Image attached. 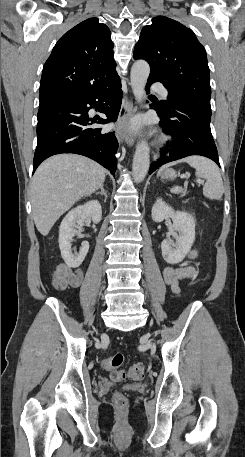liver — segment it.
Segmentation results:
<instances>
[{
  "label": "liver",
  "instance_id": "obj_1",
  "mask_svg": "<svg viewBox=\"0 0 245 457\" xmlns=\"http://www.w3.org/2000/svg\"><path fill=\"white\" fill-rule=\"evenodd\" d=\"M105 168L80 154H55L38 166L31 184L36 229L46 237L56 220L81 196L102 186Z\"/></svg>",
  "mask_w": 245,
  "mask_h": 457
}]
</instances>
